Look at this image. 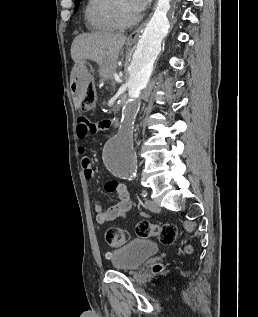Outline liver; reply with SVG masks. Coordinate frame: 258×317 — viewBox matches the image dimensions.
I'll return each instance as SVG.
<instances>
[{"label": "liver", "mask_w": 258, "mask_h": 317, "mask_svg": "<svg viewBox=\"0 0 258 317\" xmlns=\"http://www.w3.org/2000/svg\"><path fill=\"white\" fill-rule=\"evenodd\" d=\"M127 36L122 32L95 30L75 36L71 46V56L75 62L90 58L100 66V70H114L117 66L119 50Z\"/></svg>", "instance_id": "liver-1"}]
</instances>
